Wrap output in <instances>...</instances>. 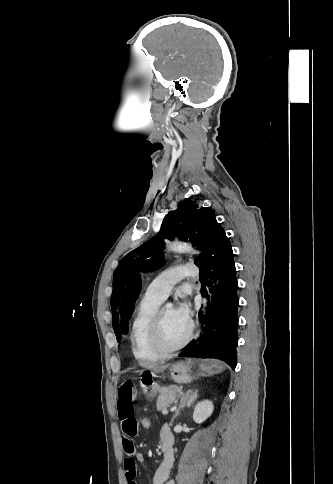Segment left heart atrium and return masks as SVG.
Returning a JSON list of instances; mask_svg holds the SVG:
<instances>
[{
	"mask_svg": "<svg viewBox=\"0 0 333 484\" xmlns=\"http://www.w3.org/2000/svg\"><path fill=\"white\" fill-rule=\"evenodd\" d=\"M177 317L186 325H190L191 323V312L188 302L182 301L178 304V306L174 309Z\"/></svg>",
	"mask_w": 333,
	"mask_h": 484,
	"instance_id": "obj_1",
	"label": "left heart atrium"
}]
</instances>
